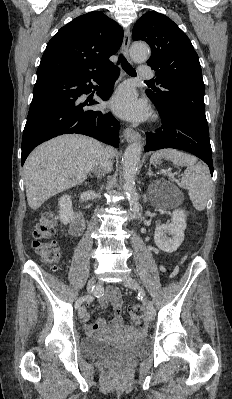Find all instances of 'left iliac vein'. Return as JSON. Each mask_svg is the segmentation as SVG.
Masks as SVG:
<instances>
[{
    "instance_id": "1",
    "label": "left iliac vein",
    "mask_w": 232,
    "mask_h": 399,
    "mask_svg": "<svg viewBox=\"0 0 232 399\" xmlns=\"http://www.w3.org/2000/svg\"><path fill=\"white\" fill-rule=\"evenodd\" d=\"M123 285L131 287V289H139L140 285L138 284V281H135V278H125L124 279ZM147 315L150 321H153L155 318V310L152 305H149L147 307Z\"/></svg>"
}]
</instances>
